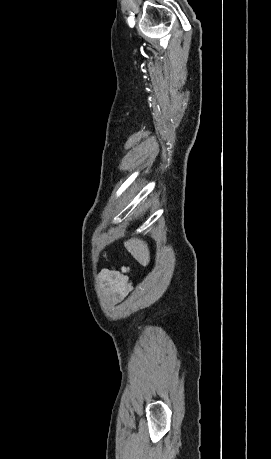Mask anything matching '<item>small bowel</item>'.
Returning <instances> with one entry per match:
<instances>
[{
	"label": "small bowel",
	"instance_id": "c3829d8e",
	"mask_svg": "<svg viewBox=\"0 0 271 459\" xmlns=\"http://www.w3.org/2000/svg\"><path fill=\"white\" fill-rule=\"evenodd\" d=\"M101 288L113 304H117L131 290V281L125 272L115 269H103L99 276Z\"/></svg>",
	"mask_w": 271,
	"mask_h": 459
}]
</instances>
